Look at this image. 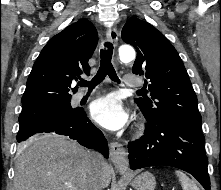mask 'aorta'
<instances>
[{"mask_svg":"<svg viewBox=\"0 0 221 190\" xmlns=\"http://www.w3.org/2000/svg\"><path fill=\"white\" fill-rule=\"evenodd\" d=\"M135 51L130 45H122L119 48V58L122 62H130L135 59Z\"/></svg>","mask_w":221,"mask_h":190,"instance_id":"762f6f07","label":"aorta"}]
</instances>
